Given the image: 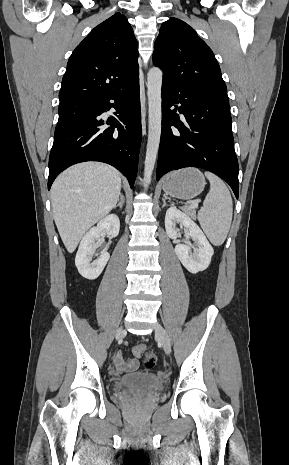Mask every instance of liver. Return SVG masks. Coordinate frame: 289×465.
Returning <instances> with one entry per match:
<instances>
[{"instance_id": "1", "label": "liver", "mask_w": 289, "mask_h": 465, "mask_svg": "<svg viewBox=\"0 0 289 465\" xmlns=\"http://www.w3.org/2000/svg\"><path fill=\"white\" fill-rule=\"evenodd\" d=\"M120 190L119 171L99 162L73 165L56 178L51 188L53 217L69 253L116 206Z\"/></svg>"}]
</instances>
